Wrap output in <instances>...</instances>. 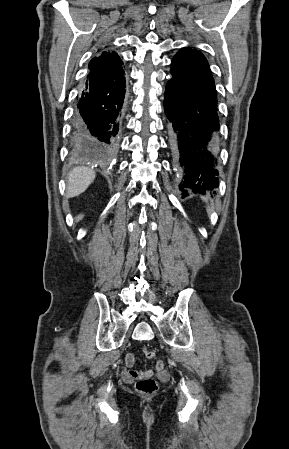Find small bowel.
I'll return each mask as SVG.
<instances>
[{"label":"small bowel","instance_id":"c3829d8e","mask_svg":"<svg viewBox=\"0 0 289 449\" xmlns=\"http://www.w3.org/2000/svg\"><path fill=\"white\" fill-rule=\"evenodd\" d=\"M136 356L134 353H128L125 356V365L128 368L127 377L137 379L140 376H151L153 374L152 370H136L133 368L135 364ZM155 370L158 373L163 372L164 363L162 361H158L155 366Z\"/></svg>","mask_w":289,"mask_h":449}]
</instances>
